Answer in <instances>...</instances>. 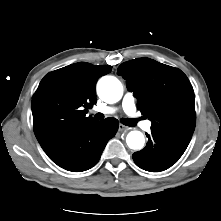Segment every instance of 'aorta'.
<instances>
[{
  "mask_svg": "<svg viewBox=\"0 0 221 221\" xmlns=\"http://www.w3.org/2000/svg\"><path fill=\"white\" fill-rule=\"evenodd\" d=\"M97 92L103 101L107 103H116L123 95V86L116 77L103 76L98 81ZM126 143L131 149H142L145 143L143 133L137 130L130 131L126 137Z\"/></svg>",
  "mask_w": 221,
  "mask_h": 221,
  "instance_id": "762f6f07",
  "label": "aorta"
}]
</instances>
